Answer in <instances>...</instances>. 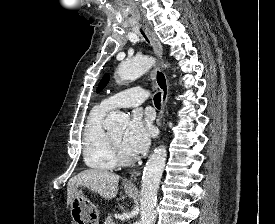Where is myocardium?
I'll return each instance as SVG.
<instances>
[{"label":"myocardium","instance_id":"f54148a6","mask_svg":"<svg viewBox=\"0 0 275 224\" xmlns=\"http://www.w3.org/2000/svg\"><path fill=\"white\" fill-rule=\"evenodd\" d=\"M107 140L113 159L117 165H130L134 162V156L123 153L118 143L113 140L109 133L107 134Z\"/></svg>","mask_w":275,"mask_h":224}]
</instances>
